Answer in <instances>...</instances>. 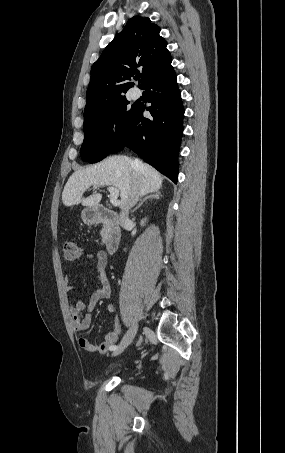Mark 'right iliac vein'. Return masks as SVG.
Listing matches in <instances>:
<instances>
[{
    "instance_id": "obj_1",
    "label": "right iliac vein",
    "mask_w": 285,
    "mask_h": 453,
    "mask_svg": "<svg viewBox=\"0 0 285 453\" xmlns=\"http://www.w3.org/2000/svg\"><path fill=\"white\" fill-rule=\"evenodd\" d=\"M138 331V323L134 322L129 330L124 335L122 341L120 342L118 348L113 351V355L121 354L133 341L136 333Z\"/></svg>"
}]
</instances>
